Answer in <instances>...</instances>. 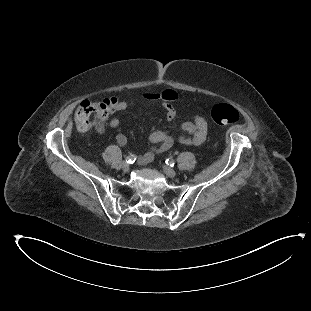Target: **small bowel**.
I'll use <instances>...</instances> for the list:
<instances>
[{
    "label": "small bowel",
    "mask_w": 311,
    "mask_h": 311,
    "mask_svg": "<svg viewBox=\"0 0 311 311\" xmlns=\"http://www.w3.org/2000/svg\"><path fill=\"white\" fill-rule=\"evenodd\" d=\"M109 114H114L126 110L130 105L131 101L119 99L117 97H110L105 100ZM162 107L165 110V114L168 119H174L177 116V110L171 104L164 102ZM111 128H117L120 125V120L117 117H113L108 122ZM181 128L188 135L172 136L162 131L152 132L149 136V140L156 144L155 147L149 149L140 157L139 162L141 164H147L153 160L155 155L163 153L170 149L175 143L184 146H199L201 145L207 135V123L201 116H195L191 121H187L181 124ZM97 131L103 133L105 126L102 123L97 125ZM117 142L120 145L126 144V137L123 134L117 136Z\"/></svg>",
    "instance_id": "small-bowel-1"
}]
</instances>
